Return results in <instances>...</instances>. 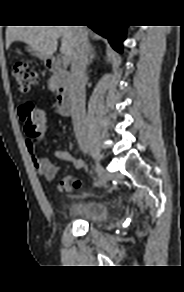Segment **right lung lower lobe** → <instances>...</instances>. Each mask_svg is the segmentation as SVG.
Here are the masks:
<instances>
[{"label": "right lung lower lobe", "instance_id": "obj_1", "mask_svg": "<svg viewBox=\"0 0 184 292\" xmlns=\"http://www.w3.org/2000/svg\"><path fill=\"white\" fill-rule=\"evenodd\" d=\"M89 27L96 33L107 38L115 50L122 52V41L125 39L126 33L125 26L93 24L89 25Z\"/></svg>", "mask_w": 184, "mask_h": 292}]
</instances>
